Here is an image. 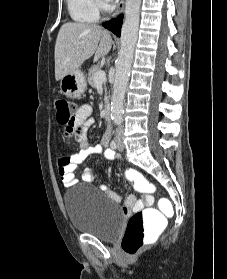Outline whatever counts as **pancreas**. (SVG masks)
I'll use <instances>...</instances> for the list:
<instances>
[{
  "mask_svg": "<svg viewBox=\"0 0 227 279\" xmlns=\"http://www.w3.org/2000/svg\"><path fill=\"white\" fill-rule=\"evenodd\" d=\"M100 68L99 66H96V65H93L90 69H89V73H88V80H89V83L92 85V86H95L96 85V82L94 81V75L97 71H99ZM105 83L106 81L103 82V85H104V89L106 91V87H105Z\"/></svg>",
  "mask_w": 227,
  "mask_h": 279,
  "instance_id": "cf45deb5",
  "label": "pancreas"
}]
</instances>
